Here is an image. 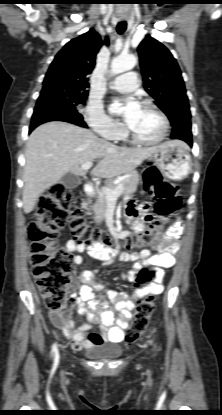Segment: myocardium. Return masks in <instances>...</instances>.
I'll return each instance as SVG.
<instances>
[{"mask_svg": "<svg viewBox=\"0 0 222 415\" xmlns=\"http://www.w3.org/2000/svg\"><path fill=\"white\" fill-rule=\"evenodd\" d=\"M142 107L149 108V109L153 110L160 117V119L162 121V124H163L162 132H161L160 136L158 138L154 139V140H145V139H142V138L138 137L127 126L124 127V133H125L126 137L131 142H133L135 144L144 145V146L157 145V144L161 143L166 138V136L168 134L169 127H170L169 119H168L167 115L158 106H156L155 104H153L149 101L143 102Z\"/></svg>", "mask_w": 222, "mask_h": 415, "instance_id": "f54148a6", "label": "myocardium"}]
</instances>
